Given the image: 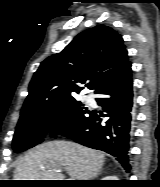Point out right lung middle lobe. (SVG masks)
I'll return each mask as SVG.
<instances>
[{
    "label": "right lung middle lobe",
    "instance_id": "dd1d6c3e",
    "mask_svg": "<svg viewBox=\"0 0 160 187\" xmlns=\"http://www.w3.org/2000/svg\"><path fill=\"white\" fill-rule=\"evenodd\" d=\"M89 113L87 107L75 99L39 111L21 113L13 138V149L18 153L32 148L41 143L48 132L52 136H67Z\"/></svg>",
    "mask_w": 160,
    "mask_h": 187
}]
</instances>
